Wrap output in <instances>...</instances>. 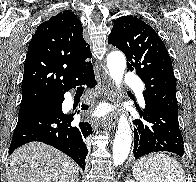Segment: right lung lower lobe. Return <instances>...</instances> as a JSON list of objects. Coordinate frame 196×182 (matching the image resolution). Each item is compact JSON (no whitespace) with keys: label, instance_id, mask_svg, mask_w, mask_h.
Masks as SVG:
<instances>
[{"label":"right lung lower lobe","instance_id":"right-lung-lower-lobe-1","mask_svg":"<svg viewBox=\"0 0 196 182\" xmlns=\"http://www.w3.org/2000/svg\"><path fill=\"white\" fill-rule=\"evenodd\" d=\"M79 84H88L89 87L96 85L93 67L81 74L49 106L19 116L9 154L25 143L40 141L66 153L85 169L88 154L85 139L92 132L91 126L86 122L72 126L73 116L62 112L64 93ZM81 109L87 110L88 105L82 104Z\"/></svg>","mask_w":196,"mask_h":182}]
</instances>
